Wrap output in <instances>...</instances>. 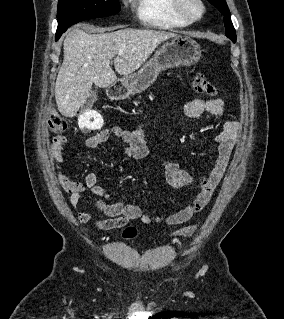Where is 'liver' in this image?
<instances>
[{"label": "liver", "mask_w": 284, "mask_h": 319, "mask_svg": "<svg viewBox=\"0 0 284 319\" xmlns=\"http://www.w3.org/2000/svg\"><path fill=\"white\" fill-rule=\"evenodd\" d=\"M104 31L89 34L77 28L64 39V58L55 83V99L59 112L66 117L76 115L89 97L93 83L106 88L116 82V73L110 67L113 58L117 73L131 75L159 44L178 36L147 29Z\"/></svg>", "instance_id": "1"}]
</instances>
